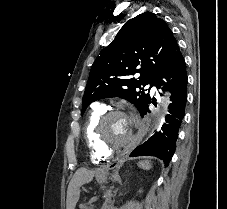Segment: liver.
I'll list each match as a JSON object with an SVG mask.
<instances>
[{
    "label": "liver",
    "mask_w": 227,
    "mask_h": 209,
    "mask_svg": "<svg viewBox=\"0 0 227 209\" xmlns=\"http://www.w3.org/2000/svg\"><path fill=\"white\" fill-rule=\"evenodd\" d=\"M94 177V171H87V169H78L73 179H71L68 185L67 191V209H74L80 195L79 189L76 187V183L79 181H91Z\"/></svg>",
    "instance_id": "obj_1"
}]
</instances>
